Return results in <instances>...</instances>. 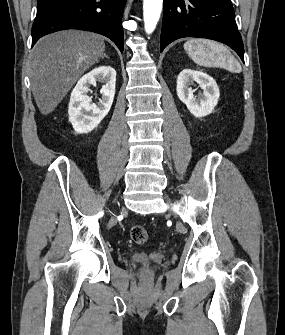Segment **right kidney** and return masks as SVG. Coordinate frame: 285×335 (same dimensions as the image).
Here are the masks:
<instances>
[{"label": "right kidney", "instance_id": "ca27d5eb", "mask_svg": "<svg viewBox=\"0 0 285 335\" xmlns=\"http://www.w3.org/2000/svg\"><path fill=\"white\" fill-rule=\"evenodd\" d=\"M97 80L105 82L102 98L98 104H93L92 98L87 96L91 84L95 86ZM116 72L111 66L94 68L77 82L68 106L69 122L77 134H88L97 128L101 120L107 116L115 96Z\"/></svg>", "mask_w": 285, "mask_h": 335}]
</instances>
